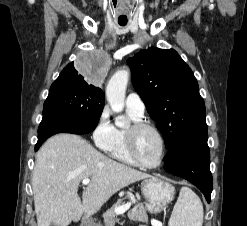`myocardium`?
I'll return each mask as SVG.
<instances>
[{
    "instance_id": "f54148a6",
    "label": "myocardium",
    "mask_w": 247,
    "mask_h": 226,
    "mask_svg": "<svg viewBox=\"0 0 247 226\" xmlns=\"http://www.w3.org/2000/svg\"><path fill=\"white\" fill-rule=\"evenodd\" d=\"M144 129H149L153 131L157 137L159 138L160 144H161V154L159 160L155 164H146L144 163L138 156L136 151V136L137 134ZM125 143H126V149L128 152V155L132 159V161L145 169H156L160 167L164 159L166 157L167 147H166V141L162 134V132L152 123L146 122V121H135L133 122L126 130H125Z\"/></svg>"
}]
</instances>
